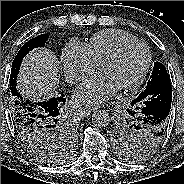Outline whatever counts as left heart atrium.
I'll return each instance as SVG.
<instances>
[{"mask_svg": "<svg viewBox=\"0 0 184 184\" xmlns=\"http://www.w3.org/2000/svg\"><path fill=\"white\" fill-rule=\"evenodd\" d=\"M113 81L103 73L86 79L75 91L79 104L97 106L110 99L117 91Z\"/></svg>", "mask_w": 184, "mask_h": 184, "instance_id": "obj_1", "label": "left heart atrium"}]
</instances>
